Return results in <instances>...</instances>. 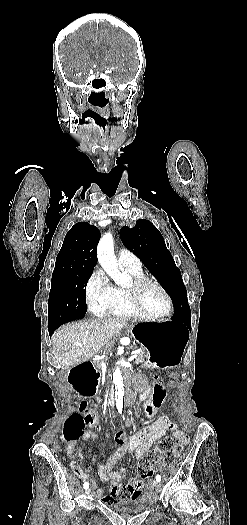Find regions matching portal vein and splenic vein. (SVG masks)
<instances>
[{
    "label": "portal vein and splenic vein",
    "mask_w": 247,
    "mask_h": 525,
    "mask_svg": "<svg viewBox=\"0 0 247 525\" xmlns=\"http://www.w3.org/2000/svg\"><path fill=\"white\" fill-rule=\"evenodd\" d=\"M137 356H138V353H134V355H130V358H128V361H134V358H137ZM100 366H102L101 383H105L106 375H107V372H106L107 365L105 363V360H101Z\"/></svg>",
    "instance_id": "1"
}]
</instances>
